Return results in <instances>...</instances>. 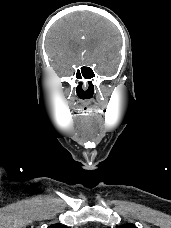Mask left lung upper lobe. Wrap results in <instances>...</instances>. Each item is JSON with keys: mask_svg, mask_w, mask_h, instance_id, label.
<instances>
[{"mask_svg": "<svg viewBox=\"0 0 171 228\" xmlns=\"http://www.w3.org/2000/svg\"><path fill=\"white\" fill-rule=\"evenodd\" d=\"M118 228H137V227L132 224H124V225L119 226Z\"/></svg>", "mask_w": 171, "mask_h": 228, "instance_id": "left-lung-upper-lobe-1", "label": "left lung upper lobe"}]
</instances>
